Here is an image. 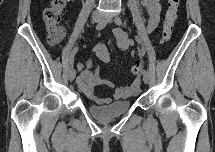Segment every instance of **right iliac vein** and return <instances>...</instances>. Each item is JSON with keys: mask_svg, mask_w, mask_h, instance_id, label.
Segmentation results:
<instances>
[{"mask_svg": "<svg viewBox=\"0 0 215 152\" xmlns=\"http://www.w3.org/2000/svg\"><path fill=\"white\" fill-rule=\"evenodd\" d=\"M102 18H103V16H101L100 14H94L92 16V21L94 23H98V22H100L102 20ZM68 78H69L70 81L74 80V78H75V71H74V69H70L69 70Z\"/></svg>", "mask_w": 215, "mask_h": 152, "instance_id": "63e3f726", "label": "right iliac vein"}]
</instances>
